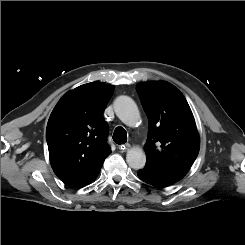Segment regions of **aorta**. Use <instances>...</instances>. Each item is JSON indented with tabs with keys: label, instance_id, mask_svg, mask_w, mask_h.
Returning a JSON list of instances; mask_svg holds the SVG:
<instances>
[{
	"label": "aorta",
	"instance_id": "obj_1",
	"mask_svg": "<svg viewBox=\"0 0 245 245\" xmlns=\"http://www.w3.org/2000/svg\"><path fill=\"white\" fill-rule=\"evenodd\" d=\"M114 110L118 118L127 126H135L140 118L139 110L134 100L128 96H120L114 102ZM127 164L133 169H142L146 163V155L139 147L127 152Z\"/></svg>",
	"mask_w": 245,
	"mask_h": 245
}]
</instances>
